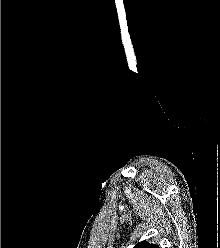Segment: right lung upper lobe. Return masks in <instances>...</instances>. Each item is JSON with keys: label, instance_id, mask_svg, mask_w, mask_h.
<instances>
[{"label": "right lung upper lobe", "instance_id": "1", "mask_svg": "<svg viewBox=\"0 0 220 248\" xmlns=\"http://www.w3.org/2000/svg\"><path fill=\"white\" fill-rule=\"evenodd\" d=\"M134 248H159L156 244H150L147 241H142L138 243Z\"/></svg>", "mask_w": 220, "mask_h": 248}]
</instances>
